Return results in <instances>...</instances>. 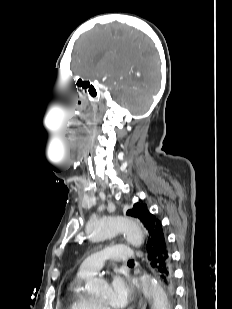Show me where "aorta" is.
<instances>
[{"label": "aorta", "mask_w": 232, "mask_h": 309, "mask_svg": "<svg viewBox=\"0 0 232 309\" xmlns=\"http://www.w3.org/2000/svg\"><path fill=\"white\" fill-rule=\"evenodd\" d=\"M87 233L92 242H100L123 233L126 240L134 247H140L144 243V234L140 225L125 217L111 216L98 219L88 224ZM140 283L142 292L149 301L151 309H170L167 296L155 279L143 274ZM106 286L105 281L97 278L86 283L87 291L97 296L104 292Z\"/></svg>", "instance_id": "obj_1"}]
</instances>
